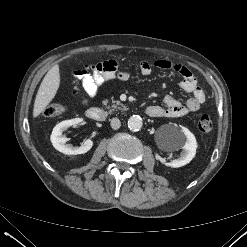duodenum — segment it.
Segmentation results:
<instances>
[{
    "label": "duodenum",
    "mask_w": 247,
    "mask_h": 247,
    "mask_svg": "<svg viewBox=\"0 0 247 247\" xmlns=\"http://www.w3.org/2000/svg\"><path fill=\"white\" fill-rule=\"evenodd\" d=\"M146 113L148 115L151 114V107H147ZM86 116L94 121L101 122L106 119V113L104 110L97 108V107H91L86 110Z\"/></svg>",
    "instance_id": "1"
}]
</instances>
